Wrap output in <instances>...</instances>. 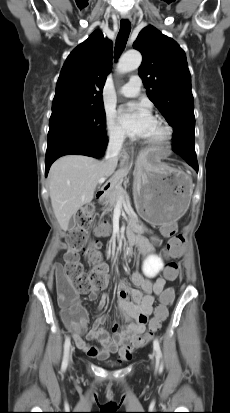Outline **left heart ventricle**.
<instances>
[{"label": "left heart ventricle", "mask_w": 230, "mask_h": 413, "mask_svg": "<svg viewBox=\"0 0 230 413\" xmlns=\"http://www.w3.org/2000/svg\"><path fill=\"white\" fill-rule=\"evenodd\" d=\"M159 135H160L159 126L157 125L156 122H154L152 128L150 129V131L145 136V139H154V138H157Z\"/></svg>", "instance_id": "b2bd125f"}]
</instances>
